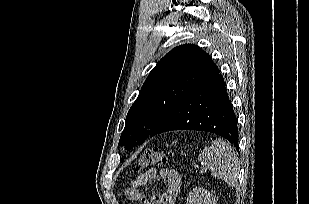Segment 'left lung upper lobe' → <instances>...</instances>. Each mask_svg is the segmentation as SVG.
I'll list each match as a JSON object with an SVG mask.
<instances>
[{"label":"left lung upper lobe","instance_id":"1","mask_svg":"<svg viewBox=\"0 0 309 204\" xmlns=\"http://www.w3.org/2000/svg\"><path fill=\"white\" fill-rule=\"evenodd\" d=\"M218 72L210 55L198 46L185 44L172 49L144 82L126 116L119 145L132 149L142 144L174 104Z\"/></svg>","mask_w":309,"mask_h":204}]
</instances>
